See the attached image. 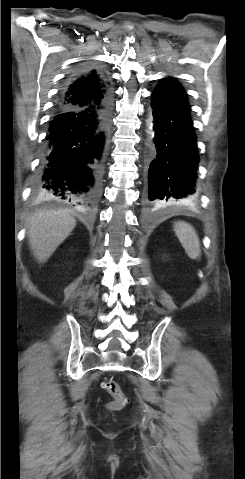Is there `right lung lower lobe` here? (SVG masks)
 <instances>
[{
    "label": "right lung lower lobe",
    "mask_w": 245,
    "mask_h": 479,
    "mask_svg": "<svg viewBox=\"0 0 245 479\" xmlns=\"http://www.w3.org/2000/svg\"><path fill=\"white\" fill-rule=\"evenodd\" d=\"M89 70L83 67L73 78ZM111 121V96L86 107H56L41 156L34 192L38 199L92 209L100 192Z\"/></svg>",
    "instance_id": "obj_1"
}]
</instances>
